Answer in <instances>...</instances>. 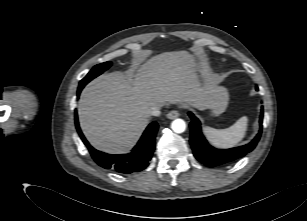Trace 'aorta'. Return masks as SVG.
I'll use <instances>...</instances> for the list:
<instances>
[{"mask_svg":"<svg viewBox=\"0 0 307 221\" xmlns=\"http://www.w3.org/2000/svg\"><path fill=\"white\" fill-rule=\"evenodd\" d=\"M171 129L175 132V133H182L185 131L186 129V123L184 120L182 119H175L174 121H172L171 123Z\"/></svg>","mask_w":307,"mask_h":221,"instance_id":"1","label":"aorta"}]
</instances>
